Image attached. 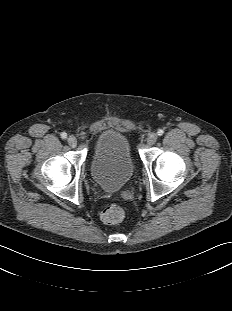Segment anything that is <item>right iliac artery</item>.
<instances>
[{
    "mask_svg": "<svg viewBox=\"0 0 232 311\" xmlns=\"http://www.w3.org/2000/svg\"><path fill=\"white\" fill-rule=\"evenodd\" d=\"M61 138H62V139H66V138H67V134H66L65 132H63V133L61 134Z\"/></svg>",
    "mask_w": 232,
    "mask_h": 311,
    "instance_id": "1",
    "label": "right iliac artery"
}]
</instances>
